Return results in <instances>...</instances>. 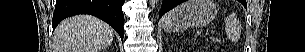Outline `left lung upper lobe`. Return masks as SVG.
I'll use <instances>...</instances> for the list:
<instances>
[{"label": "left lung upper lobe", "instance_id": "5c2ea615", "mask_svg": "<svg viewBox=\"0 0 305 52\" xmlns=\"http://www.w3.org/2000/svg\"><path fill=\"white\" fill-rule=\"evenodd\" d=\"M242 4H243V5H246V3H243V2H242Z\"/></svg>", "mask_w": 305, "mask_h": 52}]
</instances>
